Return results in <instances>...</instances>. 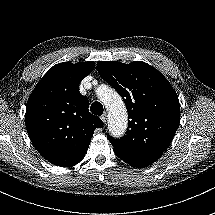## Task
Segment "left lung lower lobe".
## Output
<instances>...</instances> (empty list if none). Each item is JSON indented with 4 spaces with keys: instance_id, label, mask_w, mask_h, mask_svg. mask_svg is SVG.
<instances>
[{
    "instance_id": "0a47b994",
    "label": "left lung lower lobe",
    "mask_w": 215,
    "mask_h": 215,
    "mask_svg": "<svg viewBox=\"0 0 215 215\" xmlns=\"http://www.w3.org/2000/svg\"><path fill=\"white\" fill-rule=\"evenodd\" d=\"M113 150L116 156H118L121 160L136 168L146 167L154 163L157 159H159L162 156V154L155 155L127 154L122 151H119L117 148H114Z\"/></svg>"
}]
</instances>
